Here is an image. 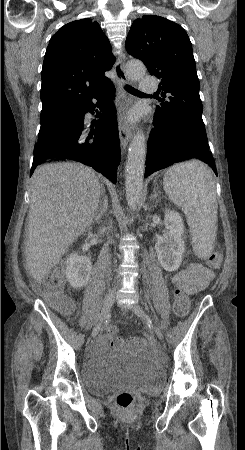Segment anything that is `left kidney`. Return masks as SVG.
I'll return each instance as SVG.
<instances>
[{
  "label": "left kidney",
  "mask_w": 245,
  "mask_h": 450,
  "mask_svg": "<svg viewBox=\"0 0 245 450\" xmlns=\"http://www.w3.org/2000/svg\"><path fill=\"white\" fill-rule=\"evenodd\" d=\"M164 225L167 229L155 244V250L161 266L169 272L178 270L185 251L183 239L184 225L179 213L166 210Z\"/></svg>",
  "instance_id": "left-kidney-1"
}]
</instances>
